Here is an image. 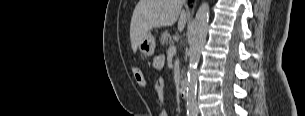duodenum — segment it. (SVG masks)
Returning <instances> with one entry per match:
<instances>
[{
	"instance_id": "duodenum-1",
	"label": "duodenum",
	"mask_w": 305,
	"mask_h": 116,
	"mask_svg": "<svg viewBox=\"0 0 305 116\" xmlns=\"http://www.w3.org/2000/svg\"><path fill=\"white\" fill-rule=\"evenodd\" d=\"M187 89H188L187 81H186V79H182L181 84H180V90H179V94L182 98H186Z\"/></svg>"
}]
</instances>
